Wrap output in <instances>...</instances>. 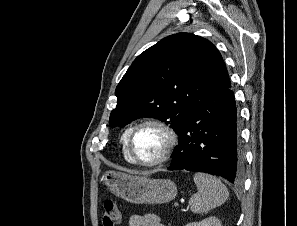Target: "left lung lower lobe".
Segmentation results:
<instances>
[{
	"mask_svg": "<svg viewBox=\"0 0 297 226\" xmlns=\"http://www.w3.org/2000/svg\"><path fill=\"white\" fill-rule=\"evenodd\" d=\"M229 88L205 93L183 121L168 170L205 172L231 183L241 182L243 156L234 94Z\"/></svg>",
	"mask_w": 297,
	"mask_h": 226,
	"instance_id": "0a47b994",
	"label": "left lung lower lobe"
}]
</instances>
